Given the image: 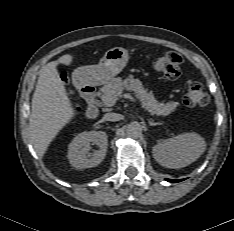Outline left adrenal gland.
<instances>
[{"instance_id":"left-adrenal-gland-1","label":"left adrenal gland","mask_w":234,"mask_h":231,"mask_svg":"<svg viewBox=\"0 0 234 231\" xmlns=\"http://www.w3.org/2000/svg\"><path fill=\"white\" fill-rule=\"evenodd\" d=\"M148 123H149L150 126H156V125H161L162 124L160 122H153L151 120H149Z\"/></svg>"}]
</instances>
